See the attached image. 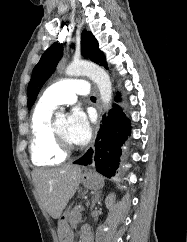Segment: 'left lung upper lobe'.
Here are the masks:
<instances>
[{"instance_id":"left-lung-upper-lobe-1","label":"left lung upper lobe","mask_w":187,"mask_h":242,"mask_svg":"<svg viewBox=\"0 0 187 242\" xmlns=\"http://www.w3.org/2000/svg\"><path fill=\"white\" fill-rule=\"evenodd\" d=\"M81 48L83 56L108 69L105 55L99 50L98 42L91 32H82ZM62 54V44L54 43L44 52L38 64L34 67L32 77L27 88V105L29 109L33 106L37 98V94L44 83L54 73Z\"/></svg>"}]
</instances>
